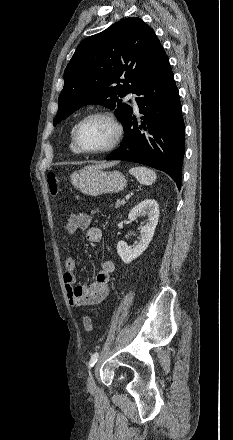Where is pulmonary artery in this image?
<instances>
[{"label":"pulmonary artery","mask_w":233,"mask_h":440,"mask_svg":"<svg viewBox=\"0 0 233 440\" xmlns=\"http://www.w3.org/2000/svg\"><path fill=\"white\" fill-rule=\"evenodd\" d=\"M126 98L132 100L135 109L138 110V106H137V102H136V95L133 92H130L127 94Z\"/></svg>","instance_id":"1"}]
</instances>
